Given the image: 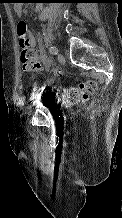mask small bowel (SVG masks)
I'll return each mask as SVG.
<instances>
[{
  "mask_svg": "<svg viewBox=\"0 0 122 218\" xmlns=\"http://www.w3.org/2000/svg\"><path fill=\"white\" fill-rule=\"evenodd\" d=\"M17 12L19 15H21L22 13V10H21V7H17ZM36 9L38 11H40V17L42 20H45L48 16H49V13H50V9L48 7L46 8H42L41 6H37ZM37 41L39 44L42 43V36L40 34L37 35ZM35 39L33 37H31V47L35 50ZM36 62H37V67H41V64L46 66V67H49L50 64H51V61L49 60V58H47L42 52H38L36 51Z\"/></svg>",
  "mask_w": 122,
  "mask_h": 218,
  "instance_id": "1",
  "label": "small bowel"
}]
</instances>
